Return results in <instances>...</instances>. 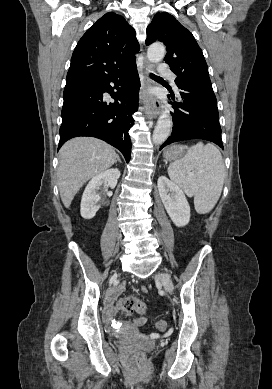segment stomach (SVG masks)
<instances>
[{
	"label": "stomach",
	"mask_w": 272,
	"mask_h": 389,
	"mask_svg": "<svg viewBox=\"0 0 272 389\" xmlns=\"http://www.w3.org/2000/svg\"><path fill=\"white\" fill-rule=\"evenodd\" d=\"M185 148L181 145H172L164 151V158L167 160H177L185 153Z\"/></svg>",
	"instance_id": "1"
}]
</instances>
